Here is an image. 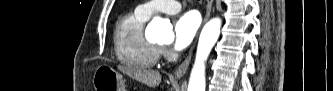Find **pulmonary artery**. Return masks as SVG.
<instances>
[{
  "mask_svg": "<svg viewBox=\"0 0 333 91\" xmlns=\"http://www.w3.org/2000/svg\"><path fill=\"white\" fill-rule=\"evenodd\" d=\"M181 9L178 1H151L145 4H141L137 7V11L144 16H151L157 12H163L167 14H175Z\"/></svg>",
  "mask_w": 333,
  "mask_h": 91,
  "instance_id": "obj_1",
  "label": "pulmonary artery"
}]
</instances>
